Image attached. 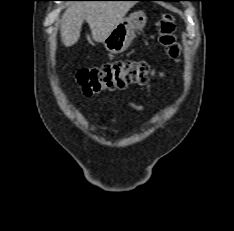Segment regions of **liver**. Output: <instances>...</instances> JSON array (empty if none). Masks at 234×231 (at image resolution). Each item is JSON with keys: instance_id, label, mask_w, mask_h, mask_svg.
Segmentation results:
<instances>
[{"instance_id": "liver-1", "label": "liver", "mask_w": 234, "mask_h": 231, "mask_svg": "<svg viewBox=\"0 0 234 231\" xmlns=\"http://www.w3.org/2000/svg\"><path fill=\"white\" fill-rule=\"evenodd\" d=\"M133 5L132 1H83L71 4L61 19L63 44L70 47L78 41L84 21L90 27L92 40L102 42ZM87 39L91 41L90 36Z\"/></svg>"}]
</instances>
